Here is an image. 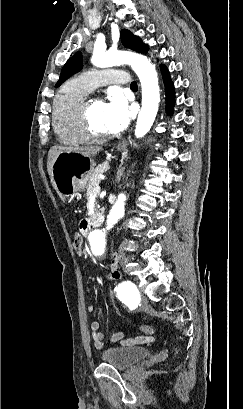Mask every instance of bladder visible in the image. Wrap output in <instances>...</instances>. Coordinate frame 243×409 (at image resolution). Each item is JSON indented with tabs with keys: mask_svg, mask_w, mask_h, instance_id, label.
Instances as JSON below:
<instances>
[{
	"mask_svg": "<svg viewBox=\"0 0 243 409\" xmlns=\"http://www.w3.org/2000/svg\"><path fill=\"white\" fill-rule=\"evenodd\" d=\"M151 351L144 347L117 346L105 349L101 353L103 362L120 370H126L149 357Z\"/></svg>",
	"mask_w": 243,
	"mask_h": 409,
	"instance_id": "bladder-1",
	"label": "bladder"
}]
</instances>
